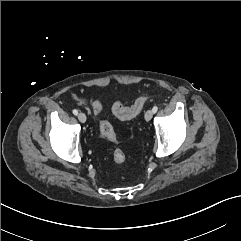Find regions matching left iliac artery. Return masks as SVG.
Instances as JSON below:
<instances>
[{
    "label": "left iliac artery",
    "mask_w": 241,
    "mask_h": 241,
    "mask_svg": "<svg viewBox=\"0 0 241 241\" xmlns=\"http://www.w3.org/2000/svg\"><path fill=\"white\" fill-rule=\"evenodd\" d=\"M157 110H158V107H157V106H154L153 109H152L153 113H156Z\"/></svg>",
    "instance_id": "obj_1"
}]
</instances>
